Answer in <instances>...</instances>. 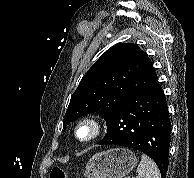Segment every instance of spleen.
Returning a JSON list of instances; mask_svg holds the SVG:
<instances>
[{"label": "spleen", "mask_w": 194, "mask_h": 178, "mask_svg": "<svg viewBox=\"0 0 194 178\" xmlns=\"http://www.w3.org/2000/svg\"><path fill=\"white\" fill-rule=\"evenodd\" d=\"M138 176L136 178H161L159 169L152 159L142 154L141 162L137 168Z\"/></svg>", "instance_id": "3e777b00"}]
</instances>
